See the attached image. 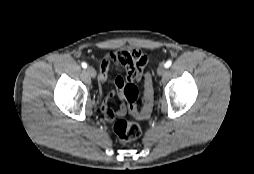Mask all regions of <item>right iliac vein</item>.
Instances as JSON below:
<instances>
[{
    "mask_svg": "<svg viewBox=\"0 0 254 174\" xmlns=\"http://www.w3.org/2000/svg\"><path fill=\"white\" fill-rule=\"evenodd\" d=\"M86 72L88 73V75L92 78L96 77V71L93 67L89 66L86 68Z\"/></svg>",
    "mask_w": 254,
    "mask_h": 174,
    "instance_id": "1",
    "label": "right iliac vein"
}]
</instances>
